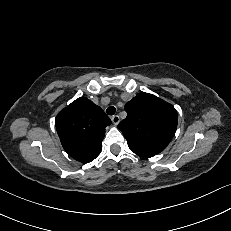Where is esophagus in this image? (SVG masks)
Wrapping results in <instances>:
<instances>
[{
    "label": "esophagus",
    "mask_w": 231,
    "mask_h": 231,
    "mask_svg": "<svg viewBox=\"0 0 231 231\" xmlns=\"http://www.w3.org/2000/svg\"><path fill=\"white\" fill-rule=\"evenodd\" d=\"M111 121L114 125H117L120 122V118L118 115H114L111 117Z\"/></svg>",
    "instance_id": "obj_1"
}]
</instances>
